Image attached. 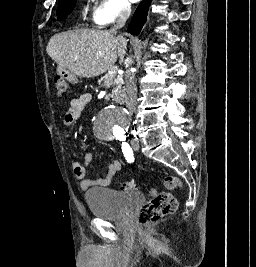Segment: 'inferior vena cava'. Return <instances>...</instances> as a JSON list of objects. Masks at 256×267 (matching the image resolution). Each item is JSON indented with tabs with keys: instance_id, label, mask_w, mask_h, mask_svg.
<instances>
[{
	"instance_id": "1",
	"label": "inferior vena cava",
	"mask_w": 256,
	"mask_h": 267,
	"mask_svg": "<svg viewBox=\"0 0 256 267\" xmlns=\"http://www.w3.org/2000/svg\"><path fill=\"white\" fill-rule=\"evenodd\" d=\"M131 14V8L129 6H122V10L119 12L118 20H116L115 26L111 28V32H116V30H120V28H123L125 26L129 16ZM125 84H126V108L132 116L134 110H135V102H136V84H135V74L134 72H131V68H128L126 74H125Z\"/></svg>"
}]
</instances>
